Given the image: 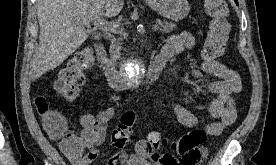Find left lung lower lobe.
<instances>
[{
    "instance_id": "1",
    "label": "left lung lower lobe",
    "mask_w": 276,
    "mask_h": 165,
    "mask_svg": "<svg viewBox=\"0 0 276 165\" xmlns=\"http://www.w3.org/2000/svg\"><path fill=\"white\" fill-rule=\"evenodd\" d=\"M236 4H238V0H235Z\"/></svg>"
}]
</instances>
